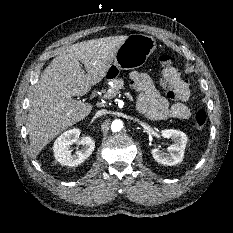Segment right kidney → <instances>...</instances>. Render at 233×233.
<instances>
[{
    "label": "right kidney",
    "mask_w": 233,
    "mask_h": 233,
    "mask_svg": "<svg viewBox=\"0 0 233 233\" xmlns=\"http://www.w3.org/2000/svg\"><path fill=\"white\" fill-rule=\"evenodd\" d=\"M79 129H71L61 134L54 142L53 151L56 160L65 166H76L84 162L94 151L95 141L90 136L81 139ZM78 143L82 148L71 153L70 145Z\"/></svg>",
    "instance_id": "1"
}]
</instances>
